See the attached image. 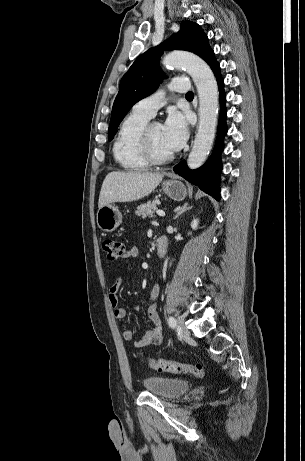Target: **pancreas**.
<instances>
[{
	"label": "pancreas",
	"mask_w": 305,
	"mask_h": 461,
	"mask_svg": "<svg viewBox=\"0 0 305 461\" xmlns=\"http://www.w3.org/2000/svg\"><path fill=\"white\" fill-rule=\"evenodd\" d=\"M157 210V202L156 201H148L147 203L141 204L137 207L135 214L142 218L152 217L154 211Z\"/></svg>",
	"instance_id": "cf45deb5"
}]
</instances>
